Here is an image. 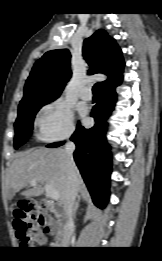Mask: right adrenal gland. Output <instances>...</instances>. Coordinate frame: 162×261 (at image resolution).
Masks as SVG:
<instances>
[{"mask_svg": "<svg viewBox=\"0 0 162 261\" xmlns=\"http://www.w3.org/2000/svg\"><path fill=\"white\" fill-rule=\"evenodd\" d=\"M80 200H81V196L78 197V200L75 203V207H74V211H73V218L74 219L76 218V212H77V210L79 208Z\"/></svg>", "mask_w": 162, "mask_h": 261, "instance_id": "obj_1", "label": "right adrenal gland"}]
</instances>
